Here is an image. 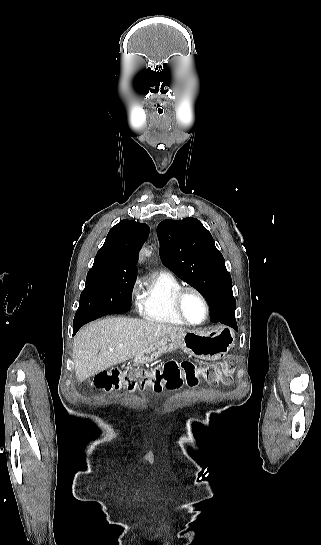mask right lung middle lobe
<instances>
[{
  "label": "right lung middle lobe",
  "mask_w": 321,
  "mask_h": 545,
  "mask_svg": "<svg viewBox=\"0 0 321 545\" xmlns=\"http://www.w3.org/2000/svg\"><path fill=\"white\" fill-rule=\"evenodd\" d=\"M135 280V276H116L104 271H89L74 322L94 320L106 315L107 307L113 300L132 294Z\"/></svg>",
  "instance_id": "dd1d6c3e"
}]
</instances>
